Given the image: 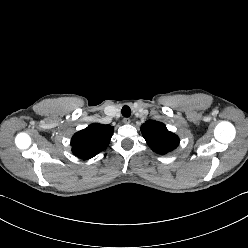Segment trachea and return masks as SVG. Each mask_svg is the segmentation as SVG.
Returning <instances> with one entry per match:
<instances>
[{"label":"trachea","mask_w":248,"mask_h":248,"mask_svg":"<svg viewBox=\"0 0 248 248\" xmlns=\"http://www.w3.org/2000/svg\"><path fill=\"white\" fill-rule=\"evenodd\" d=\"M121 113L124 117H129L131 115V109L129 106H124L121 110Z\"/></svg>","instance_id":"3493384b"}]
</instances>
